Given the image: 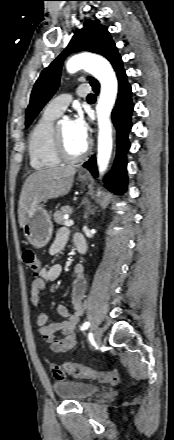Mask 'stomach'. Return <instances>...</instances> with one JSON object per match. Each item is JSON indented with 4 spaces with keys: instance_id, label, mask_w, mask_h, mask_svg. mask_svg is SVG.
<instances>
[{
    "instance_id": "stomach-1",
    "label": "stomach",
    "mask_w": 174,
    "mask_h": 440,
    "mask_svg": "<svg viewBox=\"0 0 174 440\" xmlns=\"http://www.w3.org/2000/svg\"><path fill=\"white\" fill-rule=\"evenodd\" d=\"M81 182H88L86 176H79ZM28 242L35 248L44 247L50 240L53 232L51 217L42 205H38L33 215L23 227Z\"/></svg>"
}]
</instances>
